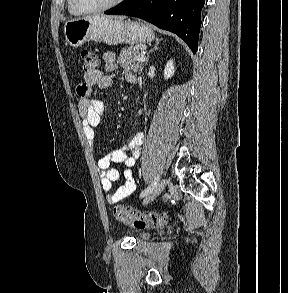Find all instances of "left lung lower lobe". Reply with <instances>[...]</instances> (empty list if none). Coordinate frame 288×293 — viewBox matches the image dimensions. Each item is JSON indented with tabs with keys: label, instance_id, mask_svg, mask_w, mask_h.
Here are the masks:
<instances>
[{
	"label": "left lung lower lobe",
	"instance_id": "obj_1",
	"mask_svg": "<svg viewBox=\"0 0 288 293\" xmlns=\"http://www.w3.org/2000/svg\"><path fill=\"white\" fill-rule=\"evenodd\" d=\"M204 3L205 0H125L105 14L146 20L177 34L196 53Z\"/></svg>",
	"mask_w": 288,
	"mask_h": 293
}]
</instances>
